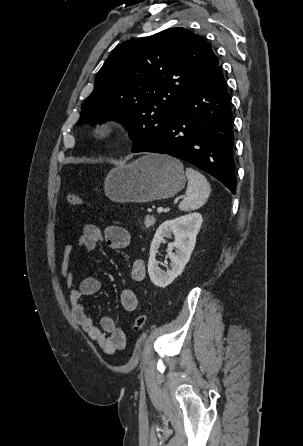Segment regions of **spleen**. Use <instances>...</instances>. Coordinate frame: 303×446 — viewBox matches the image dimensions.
I'll return each instance as SVG.
<instances>
[{
  "instance_id": "obj_1",
  "label": "spleen",
  "mask_w": 303,
  "mask_h": 446,
  "mask_svg": "<svg viewBox=\"0 0 303 446\" xmlns=\"http://www.w3.org/2000/svg\"><path fill=\"white\" fill-rule=\"evenodd\" d=\"M188 185L186 194L179 204L182 211L196 210L207 201L211 188L207 179L199 171L193 168H186Z\"/></svg>"
}]
</instances>
